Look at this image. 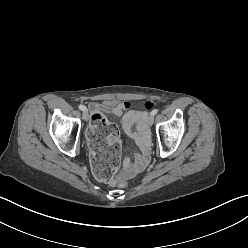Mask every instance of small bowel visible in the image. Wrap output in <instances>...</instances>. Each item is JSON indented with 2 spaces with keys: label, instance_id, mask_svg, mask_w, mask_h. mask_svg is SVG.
Masks as SVG:
<instances>
[{
  "label": "small bowel",
  "instance_id": "c3829d8e",
  "mask_svg": "<svg viewBox=\"0 0 248 248\" xmlns=\"http://www.w3.org/2000/svg\"><path fill=\"white\" fill-rule=\"evenodd\" d=\"M129 102L116 103L105 101L101 104L91 103L90 108L95 112L103 110L120 118V125L124 133L132 138L139 148V152L134 154V162L129 157L123 161L122 176H133L142 171L149 160V137L147 129V114L139 110H130ZM135 126V130L133 127ZM111 139H116L111 135ZM110 139V140H111Z\"/></svg>",
  "mask_w": 248,
  "mask_h": 248
}]
</instances>
